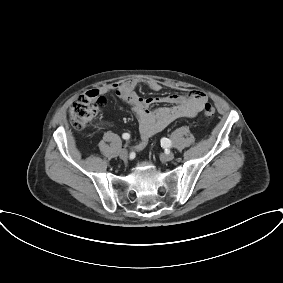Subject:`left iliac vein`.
Here are the masks:
<instances>
[{"mask_svg":"<svg viewBox=\"0 0 283 283\" xmlns=\"http://www.w3.org/2000/svg\"><path fill=\"white\" fill-rule=\"evenodd\" d=\"M174 158V154L172 152H169V153H165V154H162L161 155V159L163 161H171L172 159Z\"/></svg>","mask_w":283,"mask_h":283,"instance_id":"left-iliac-vein-1","label":"left iliac vein"}]
</instances>
